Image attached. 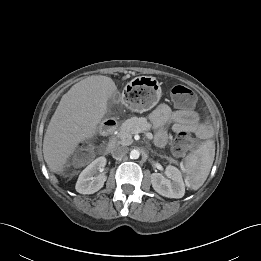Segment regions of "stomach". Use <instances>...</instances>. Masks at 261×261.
I'll use <instances>...</instances> for the list:
<instances>
[{"label":"stomach","mask_w":261,"mask_h":261,"mask_svg":"<svg viewBox=\"0 0 261 261\" xmlns=\"http://www.w3.org/2000/svg\"><path fill=\"white\" fill-rule=\"evenodd\" d=\"M160 97L159 82L153 77L142 76L127 83L122 94V101L128 109L143 113L153 108Z\"/></svg>","instance_id":"obj_1"}]
</instances>
